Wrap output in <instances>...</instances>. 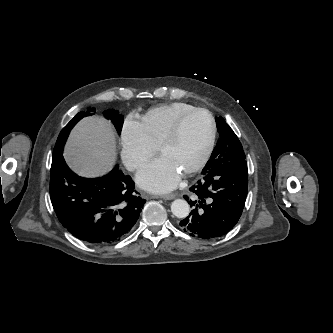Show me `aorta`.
<instances>
[{"instance_id":"aorta-1","label":"aorta","mask_w":333,"mask_h":333,"mask_svg":"<svg viewBox=\"0 0 333 333\" xmlns=\"http://www.w3.org/2000/svg\"><path fill=\"white\" fill-rule=\"evenodd\" d=\"M189 204L183 199H176L171 204V211L177 218H185L189 215Z\"/></svg>"}]
</instances>
